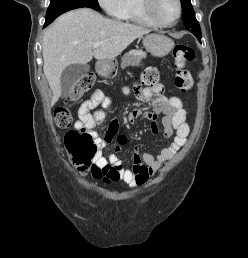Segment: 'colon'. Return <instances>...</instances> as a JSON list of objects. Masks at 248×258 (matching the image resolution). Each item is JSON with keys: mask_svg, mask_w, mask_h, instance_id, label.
I'll return each instance as SVG.
<instances>
[{"mask_svg": "<svg viewBox=\"0 0 248 258\" xmlns=\"http://www.w3.org/2000/svg\"><path fill=\"white\" fill-rule=\"evenodd\" d=\"M174 83L182 92H188L193 86V78L187 66L194 59L193 49L187 44H178L174 48ZM159 72L149 67L141 75V83L145 86L155 87L159 83ZM95 83V76L91 73L83 75L73 86L69 100L76 101L89 91ZM54 122L59 129H68L73 123V116L66 105L58 106L54 111ZM65 146L69 157L82 172L91 171L95 177L116 176L115 169L99 168L94 160L97 155V145L86 131L70 130L65 136Z\"/></svg>", "mask_w": 248, "mask_h": 258, "instance_id": "colon-1", "label": "colon"}]
</instances>
